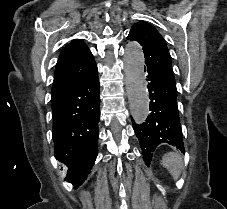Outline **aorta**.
<instances>
[{
	"instance_id": "762f6f07",
	"label": "aorta",
	"mask_w": 227,
	"mask_h": 209,
	"mask_svg": "<svg viewBox=\"0 0 227 209\" xmlns=\"http://www.w3.org/2000/svg\"><path fill=\"white\" fill-rule=\"evenodd\" d=\"M124 63L130 112L135 122L141 124L149 113V98L144 73V53L137 42L126 45Z\"/></svg>"
}]
</instances>
